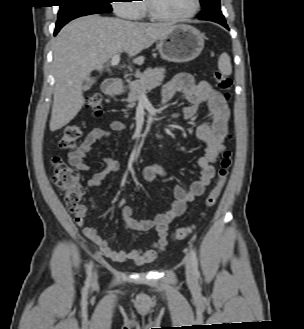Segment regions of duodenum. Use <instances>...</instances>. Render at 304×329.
I'll return each instance as SVG.
<instances>
[{
  "label": "duodenum",
  "mask_w": 304,
  "mask_h": 329,
  "mask_svg": "<svg viewBox=\"0 0 304 329\" xmlns=\"http://www.w3.org/2000/svg\"><path fill=\"white\" fill-rule=\"evenodd\" d=\"M119 86L118 79H108L103 84V91L107 96H114L118 93Z\"/></svg>",
  "instance_id": "1"
}]
</instances>
